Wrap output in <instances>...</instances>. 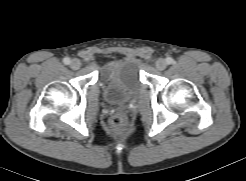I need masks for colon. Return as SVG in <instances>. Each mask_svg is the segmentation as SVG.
<instances>
[{
  "label": "colon",
  "instance_id": "colon-1",
  "mask_svg": "<svg viewBox=\"0 0 246 181\" xmlns=\"http://www.w3.org/2000/svg\"><path fill=\"white\" fill-rule=\"evenodd\" d=\"M110 126L116 133L122 134L128 128V120L125 115L118 113L111 117Z\"/></svg>",
  "mask_w": 246,
  "mask_h": 181
}]
</instances>
